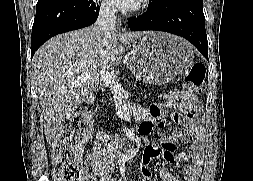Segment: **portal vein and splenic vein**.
<instances>
[{
    "label": "portal vein and splenic vein",
    "instance_id": "obj_1",
    "mask_svg": "<svg viewBox=\"0 0 253 181\" xmlns=\"http://www.w3.org/2000/svg\"><path fill=\"white\" fill-rule=\"evenodd\" d=\"M100 76L103 82L114 92H123L121 84L117 81L116 77L105 70H100ZM85 76H88V73H84Z\"/></svg>",
    "mask_w": 253,
    "mask_h": 181
}]
</instances>
